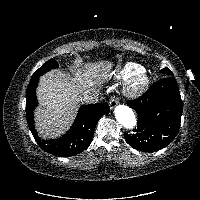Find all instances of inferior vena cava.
<instances>
[{"mask_svg": "<svg viewBox=\"0 0 200 200\" xmlns=\"http://www.w3.org/2000/svg\"><path fill=\"white\" fill-rule=\"evenodd\" d=\"M99 98V93L97 90L85 91L80 99L86 104L97 103Z\"/></svg>", "mask_w": 200, "mask_h": 200, "instance_id": "602c4592", "label": "inferior vena cava"}]
</instances>
